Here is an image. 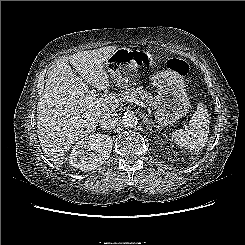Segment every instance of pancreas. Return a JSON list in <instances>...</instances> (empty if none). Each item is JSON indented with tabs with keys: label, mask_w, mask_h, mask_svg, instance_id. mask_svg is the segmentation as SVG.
I'll use <instances>...</instances> for the list:
<instances>
[{
	"label": "pancreas",
	"mask_w": 245,
	"mask_h": 245,
	"mask_svg": "<svg viewBox=\"0 0 245 245\" xmlns=\"http://www.w3.org/2000/svg\"><path fill=\"white\" fill-rule=\"evenodd\" d=\"M130 97H140L148 106L153 107L154 106V97L151 93L143 89V87H132V88H126L125 90H122L118 101H124L125 99H128Z\"/></svg>",
	"instance_id": "obj_1"
}]
</instances>
